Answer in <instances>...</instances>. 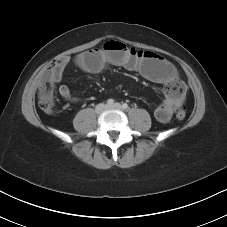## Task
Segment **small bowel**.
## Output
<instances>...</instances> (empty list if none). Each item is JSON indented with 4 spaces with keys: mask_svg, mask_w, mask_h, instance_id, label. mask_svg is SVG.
<instances>
[{
    "mask_svg": "<svg viewBox=\"0 0 227 227\" xmlns=\"http://www.w3.org/2000/svg\"><path fill=\"white\" fill-rule=\"evenodd\" d=\"M70 59L64 57L53 66L47 77L52 82H60L65 67ZM75 64L81 70L97 74L107 66L123 67L129 71L139 72L147 80L164 86V100L155 109L154 116L160 123H167L174 110L181 106L185 99V87L178 77L174 65L162 56L150 52L129 48L119 41H109L102 48H94L80 53ZM59 95L67 101L78 102L66 85L58 89Z\"/></svg>",
    "mask_w": 227,
    "mask_h": 227,
    "instance_id": "obj_1",
    "label": "small bowel"
}]
</instances>
